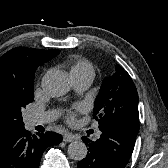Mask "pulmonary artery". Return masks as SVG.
I'll return each instance as SVG.
<instances>
[{
    "label": "pulmonary artery",
    "mask_w": 168,
    "mask_h": 168,
    "mask_svg": "<svg viewBox=\"0 0 168 168\" xmlns=\"http://www.w3.org/2000/svg\"><path fill=\"white\" fill-rule=\"evenodd\" d=\"M92 81H93L92 76H80V77L73 78L74 87L75 89L79 91H83L87 89L91 85ZM52 118H53V115L50 113L39 115V116H29L26 120V124L28 128H33L36 125H40V124L48 122ZM100 134L101 133L98 131L95 134V137L99 138Z\"/></svg>",
    "instance_id": "1"
}]
</instances>
